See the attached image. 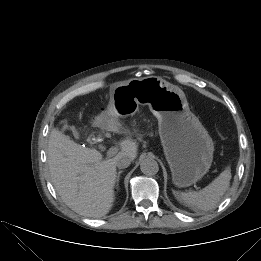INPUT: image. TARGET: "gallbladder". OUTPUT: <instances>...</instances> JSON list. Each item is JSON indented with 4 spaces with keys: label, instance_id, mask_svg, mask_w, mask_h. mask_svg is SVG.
Listing matches in <instances>:
<instances>
[{
    "label": "gallbladder",
    "instance_id": "obj_1",
    "mask_svg": "<svg viewBox=\"0 0 261 261\" xmlns=\"http://www.w3.org/2000/svg\"><path fill=\"white\" fill-rule=\"evenodd\" d=\"M66 128H67L66 126L63 127V129H66Z\"/></svg>",
    "mask_w": 261,
    "mask_h": 261
}]
</instances>
